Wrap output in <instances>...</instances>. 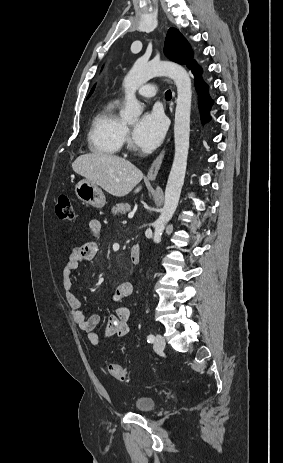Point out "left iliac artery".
<instances>
[{
    "label": "left iliac artery",
    "mask_w": 283,
    "mask_h": 463,
    "mask_svg": "<svg viewBox=\"0 0 283 463\" xmlns=\"http://www.w3.org/2000/svg\"><path fill=\"white\" fill-rule=\"evenodd\" d=\"M154 340H155L154 335L150 334V335L147 336V342H148V343H153Z\"/></svg>",
    "instance_id": "44dca946"
}]
</instances>
